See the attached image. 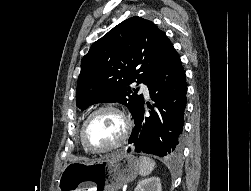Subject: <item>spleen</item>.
<instances>
[{
	"mask_svg": "<svg viewBox=\"0 0 251 191\" xmlns=\"http://www.w3.org/2000/svg\"><path fill=\"white\" fill-rule=\"evenodd\" d=\"M155 167L154 159L146 157V155H140V175H149Z\"/></svg>",
	"mask_w": 251,
	"mask_h": 191,
	"instance_id": "3e777b00",
	"label": "spleen"
}]
</instances>
